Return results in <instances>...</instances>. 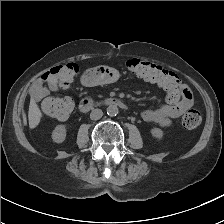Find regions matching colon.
I'll use <instances>...</instances> for the list:
<instances>
[{
    "instance_id": "5ec220e1",
    "label": "colon",
    "mask_w": 224,
    "mask_h": 224,
    "mask_svg": "<svg viewBox=\"0 0 224 224\" xmlns=\"http://www.w3.org/2000/svg\"><path fill=\"white\" fill-rule=\"evenodd\" d=\"M125 64L132 75L142 78L147 82L155 83L158 86L167 85L175 79H178V76L173 71L163 69L161 66L152 62L133 58L126 61ZM52 71L59 75L64 82L70 83L78 73V65L74 62H67L53 67ZM73 107V100L69 97H50L43 103L45 112L58 120L67 119ZM201 122V112L194 108L187 110L182 119L183 126L188 130L198 127Z\"/></svg>"
}]
</instances>
